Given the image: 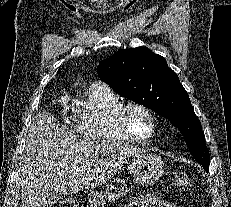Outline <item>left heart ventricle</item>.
Listing matches in <instances>:
<instances>
[{
  "label": "left heart ventricle",
  "mask_w": 231,
  "mask_h": 207,
  "mask_svg": "<svg viewBox=\"0 0 231 207\" xmlns=\"http://www.w3.org/2000/svg\"><path fill=\"white\" fill-rule=\"evenodd\" d=\"M127 123L132 133L138 137H147L151 133L152 125L148 115L139 108L128 110Z\"/></svg>",
  "instance_id": "obj_1"
}]
</instances>
